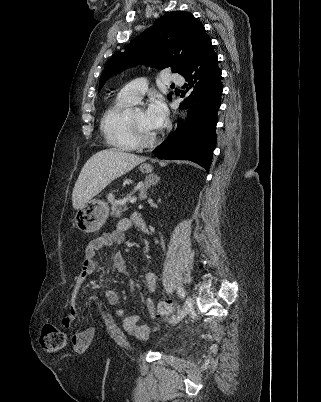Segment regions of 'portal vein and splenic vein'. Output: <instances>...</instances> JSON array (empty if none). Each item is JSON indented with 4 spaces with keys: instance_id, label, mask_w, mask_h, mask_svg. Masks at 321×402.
Wrapping results in <instances>:
<instances>
[{
    "instance_id": "18ae733b",
    "label": "portal vein and splenic vein",
    "mask_w": 321,
    "mask_h": 402,
    "mask_svg": "<svg viewBox=\"0 0 321 402\" xmlns=\"http://www.w3.org/2000/svg\"><path fill=\"white\" fill-rule=\"evenodd\" d=\"M129 201H130V203H136V201H137V198L135 197V196H132L130 199H129Z\"/></svg>"
}]
</instances>
